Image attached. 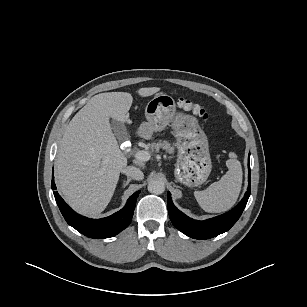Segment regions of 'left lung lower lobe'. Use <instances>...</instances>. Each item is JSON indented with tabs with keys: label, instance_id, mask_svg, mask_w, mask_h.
Listing matches in <instances>:
<instances>
[{
	"label": "left lung lower lobe",
	"instance_id": "left-lung-lower-lobe-1",
	"mask_svg": "<svg viewBox=\"0 0 307 307\" xmlns=\"http://www.w3.org/2000/svg\"><path fill=\"white\" fill-rule=\"evenodd\" d=\"M249 159H250V153L248 156L249 185L247 192L245 193L243 199L239 202V204L235 208H233L232 210L223 215L207 219L205 221H198L191 219L190 217L186 216L184 213L179 211L174 206L171 200V194L168 192L167 206H168L169 216L173 225L185 235L200 240L212 238L228 231L241 216L247 204L248 198L250 196L251 172H250Z\"/></svg>",
	"mask_w": 307,
	"mask_h": 307
}]
</instances>
